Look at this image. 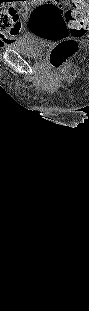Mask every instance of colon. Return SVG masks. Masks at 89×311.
Wrapping results in <instances>:
<instances>
[{"mask_svg": "<svg viewBox=\"0 0 89 311\" xmlns=\"http://www.w3.org/2000/svg\"><path fill=\"white\" fill-rule=\"evenodd\" d=\"M73 4V9H65L61 0H46L33 10L30 17L31 32L55 43L50 53V62L56 67L77 51V39L85 35L89 27L85 0H73ZM17 23L18 13L14 8L2 11L0 24L5 30L17 28Z\"/></svg>", "mask_w": 89, "mask_h": 311, "instance_id": "colon-1", "label": "colon"}]
</instances>
